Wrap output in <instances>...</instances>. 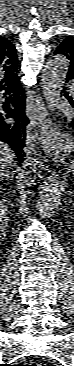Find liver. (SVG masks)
<instances>
[{
  "label": "liver",
  "mask_w": 74,
  "mask_h": 366,
  "mask_svg": "<svg viewBox=\"0 0 74 366\" xmlns=\"http://www.w3.org/2000/svg\"><path fill=\"white\" fill-rule=\"evenodd\" d=\"M15 158L14 152L11 150V148L1 142L0 143V172L1 175H5V172L8 171V168H10L12 165V162Z\"/></svg>",
  "instance_id": "6515ba94"
}]
</instances>
